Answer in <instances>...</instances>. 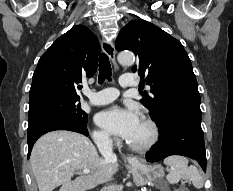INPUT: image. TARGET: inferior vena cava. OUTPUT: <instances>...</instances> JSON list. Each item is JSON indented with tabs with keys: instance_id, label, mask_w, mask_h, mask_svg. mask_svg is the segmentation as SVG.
Returning a JSON list of instances; mask_svg holds the SVG:
<instances>
[{
	"instance_id": "inferior-vena-cava-1",
	"label": "inferior vena cava",
	"mask_w": 233,
	"mask_h": 191,
	"mask_svg": "<svg viewBox=\"0 0 233 191\" xmlns=\"http://www.w3.org/2000/svg\"><path fill=\"white\" fill-rule=\"evenodd\" d=\"M99 151L104 157L105 161L115 162L117 160V157L114 154L113 149H112V143L108 139H104L99 144Z\"/></svg>"
}]
</instances>
